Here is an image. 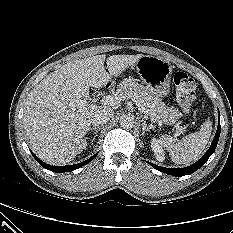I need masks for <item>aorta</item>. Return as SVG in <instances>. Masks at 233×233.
I'll return each instance as SVG.
<instances>
[{
	"instance_id": "762f6f07",
	"label": "aorta",
	"mask_w": 233,
	"mask_h": 233,
	"mask_svg": "<svg viewBox=\"0 0 233 233\" xmlns=\"http://www.w3.org/2000/svg\"><path fill=\"white\" fill-rule=\"evenodd\" d=\"M120 126L124 129H131L134 127V119L129 115H124L120 117Z\"/></svg>"
}]
</instances>
